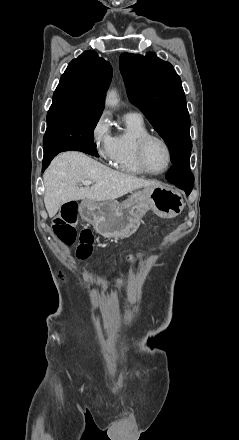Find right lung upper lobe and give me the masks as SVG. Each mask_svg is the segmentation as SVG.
Returning <instances> with one entry per match:
<instances>
[{"instance_id":"1","label":"right lung upper lobe","mask_w":239,"mask_h":440,"mask_svg":"<svg viewBox=\"0 0 239 440\" xmlns=\"http://www.w3.org/2000/svg\"><path fill=\"white\" fill-rule=\"evenodd\" d=\"M112 78V67L95 51L88 50L72 60L53 94L51 107L102 113L103 97Z\"/></svg>"}]
</instances>
